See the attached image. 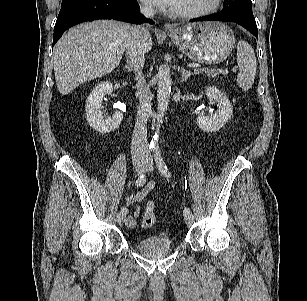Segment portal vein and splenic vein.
I'll use <instances>...</instances> for the list:
<instances>
[{"label": "portal vein and splenic vein", "mask_w": 307, "mask_h": 301, "mask_svg": "<svg viewBox=\"0 0 307 301\" xmlns=\"http://www.w3.org/2000/svg\"><path fill=\"white\" fill-rule=\"evenodd\" d=\"M188 67L189 68H199L200 65L196 64V63H191V64H188ZM229 72L236 73L237 69L233 68L231 70L226 69L225 71H223V73H225V74H228Z\"/></svg>", "instance_id": "1"}]
</instances>
